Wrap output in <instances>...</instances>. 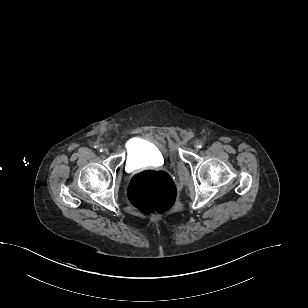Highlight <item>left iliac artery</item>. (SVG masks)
<instances>
[{
  "instance_id": "44dca946",
  "label": "left iliac artery",
  "mask_w": 308,
  "mask_h": 308,
  "mask_svg": "<svg viewBox=\"0 0 308 308\" xmlns=\"http://www.w3.org/2000/svg\"><path fill=\"white\" fill-rule=\"evenodd\" d=\"M201 147H203V143H202V142H199V143H198V148H201Z\"/></svg>"
}]
</instances>
